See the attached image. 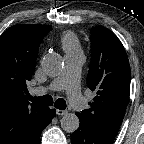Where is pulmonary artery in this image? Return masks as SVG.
<instances>
[{"label": "pulmonary artery", "mask_w": 144, "mask_h": 144, "mask_svg": "<svg viewBox=\"0 0 144 144\" xmlns=\"http://www.w3.org/2000/svg\"><path fill=\"white\" fill-rule=\"evenodd\" d=\"M65 66L61 74L56 77L48 86L32 89L34 95H41L47 91L65 90L69 102L73 108L81 111L85 107V100L80 92V73L84 62L82 52L66 54Z\"/></svg>", "instance_id": "e3ab8cb5"}]
</instances>
